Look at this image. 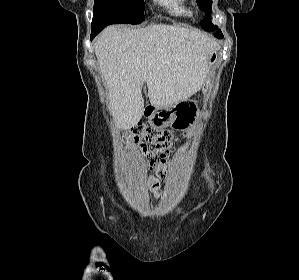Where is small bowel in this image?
<instances>
[{"label": "small bowel", "instance_id": "obj_1", "mask_svg": "<svg viewBox=\"0 0 299 280\" xmlns=\"http://www.w3.org/2000/svg\"><path fill=\"white\" fill-rule=\"evenodd\" d=\"M157 171L161 174L160 169H157ZM147 185L148 188L150 189V191L153 193L155 198H159L160 197V180L157 176L151 175L148 177L147 180Z\"/></svg>", "mask_w": 299, "mask_h": 280}]
</instances>
